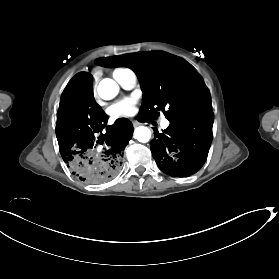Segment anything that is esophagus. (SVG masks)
Returning <instances> with one entry per match:
<instances>
[{"instance_id":"34e87169","label":"esophagus","mask_w":279,"mask_h":279,"mask_svg":"<svg viewBox=\"0 0 279 279\" xmlns=\"http://www.w3.org/2000/svg\"><path fill=\"white\" fill-rule=\"evenodd\" d=\"M132 123H133L134 126H137V125L140 124V123H139L138 121H136V120H132Z\"/></svg>"}]
</instances>
